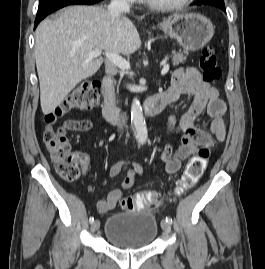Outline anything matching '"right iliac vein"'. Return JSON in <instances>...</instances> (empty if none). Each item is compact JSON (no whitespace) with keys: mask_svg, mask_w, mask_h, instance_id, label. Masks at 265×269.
Returning <instances> with one entry per match:
<instances>
[{"mask_svg":"<svg viewBox=\"0 0 265 269\" xmlns=\"http://www.w3.org/2000/svg\"><path fill=\"white\" fill-rule=\"evenodd\" d=\"M100 226V222L98 220L93 221V223L91 224V231L95 232L96 230L99 229Z\"/></svg>","mask_w":265,"mask_h":269,"instance_id":"obj_1","label":"right iliac vein"}]
</instances>
